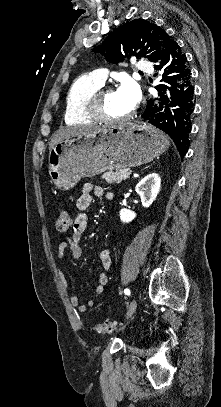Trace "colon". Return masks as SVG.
<instances>
[{
  "instance_id": "colon-1",
  "label": "colon",
  "mask_w": 221,
  "mask_h": 407,
  "mask_svg": "<svg viewBox=\"0 0 221 407\" xmlns=\"http://www.w3.org/2000/svg\"><path fill=\"white\" fill-rule=\"evenodd\" d=\"M72 223L71 215L66 210H61L57 216L56 228L57 231L66 232ZM118 322L116 320H106L102 323L96 324L91 328L92 331L100 334H111L116 331Z\"/></svg>"
}]
</instances>
